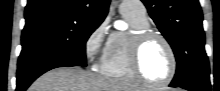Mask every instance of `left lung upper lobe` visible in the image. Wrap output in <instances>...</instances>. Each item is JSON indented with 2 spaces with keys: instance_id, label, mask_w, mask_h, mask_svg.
Here are the masks:
<instances>
[{
  "instance_id": "obj_1",
  "label": "left lung upper lobe",
  "mask_w": 220,
  "mask_h": 91,
  "mask_svg": "<svg viewBox=\"0 0 220 91\" xmlns=\"http://www.w3.org/2000/svg\"><path fill=\"white\" fill-rule=\"evenodd\" d=\"M158 29L171 45L177 69L170 85L209 81V61L198 0H142Z\"/></svg>"
}]
</instances>
